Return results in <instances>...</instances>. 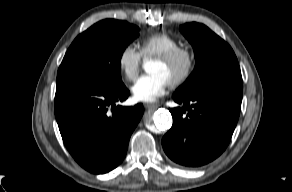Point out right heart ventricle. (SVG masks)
Here are the masks:
<instances>
[{"instance_id":"1","label":"right heart ventricle","mask_w":292,"mask_h":192,"mask_svg":"<svg viewBox=\"0 0 292 192\" xmlns=\"http://www.w3.org/2000/svg\"><path fill=\"white\" fill-rule=\"evenodd\" d=\"M180 44L175 36L166 32H156L140 41L139 52L143 57L157 56L180 47Z\"/></svg>"}]
</instances>
